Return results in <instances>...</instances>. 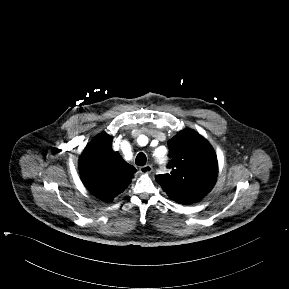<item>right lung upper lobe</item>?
Wrapping results in <instances>:
<instances>
[{
  "mask_svg": "<svg viewBox=\"0 0 289 289\" xmlns=\"http://www.w3.org/2000/svg\"><path fill=\"white\" fill-rule=\"evenodd\" d=\"M79 170L84 185L103 201H112L130 184L136 172L118 152L112 149V137L97 135L84 149Z\"/></svg>",
  "mask_w": 289,
  "mask_h": 289,
  "instance_id": "cb5924a9",
  "label": "right lung upper lobe"
}]
</instances>
